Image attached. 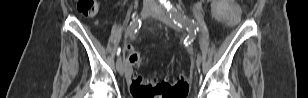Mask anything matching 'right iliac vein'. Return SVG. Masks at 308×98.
<instances>
[{
	"label": "right iliac vein",
	"instance_id": "right-iliac-vein-1",
	"mask_svg": "<svg viewBox=\"0 0 308 98\" xmlns=\"http://www.w3.org/2000/svg\"><path fill=\"white\" fill-rule=\"evenodd\" d=\"M152 9L153 8L151 6L148 5L143 6L140 12V17L141 18L147 17L151 13ZM119 60H120V66L118 68V72L120 73V75H123L126 72V66L124 62H122L121 58H119Z\"/></svg>",
	"mask_w": 308,
	"mask_h": 98
}]
</instances>
